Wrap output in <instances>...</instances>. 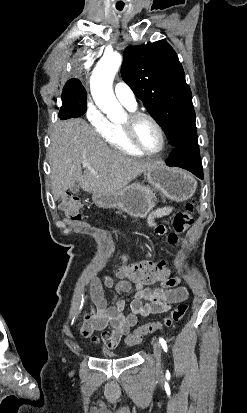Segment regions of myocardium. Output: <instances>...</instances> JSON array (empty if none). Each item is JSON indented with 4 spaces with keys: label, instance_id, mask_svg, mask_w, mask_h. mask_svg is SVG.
Wrapping results in <instances>:
<instances>
[{
    "label": "myocardium",
    "instance_id": "1",
    "mask_svg": "<svg viewBox=\"0 0 247 413\" xmlns=\"http://www.w3.org/2000/svg\"><path fill=\"white\" fill-rule=\"evenodd\" d=\"M141 120H147L160 132L162 137V145L158 150L149 151L140 143L137 136V126ZM128 123L130 124L129 126H124L125 132L128 140L137 150L150 157H160L165 153L168 146L167 134L161 124L153 116L144 112H134L130 116Z\"/></svg>",
    "mask_w": 247,
    "mask_h": 413
}]
</instances>
